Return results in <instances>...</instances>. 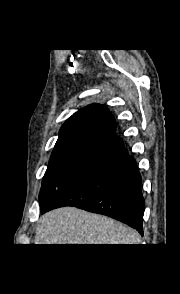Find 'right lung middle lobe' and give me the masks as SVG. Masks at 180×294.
Segmentation results:
<instances>
[{
  "label": "right lung middle lobe",
  "mask_w": 180,
  "mask_h": 294,
  "mask_svg": "<svg viewBox=\"0 0 180 294\" xmlns=\"http://www.w3.org/2000/svg\"><path fill=\"white\" fill-rule=\"evenodd\" d=\"M100 144L74 142L55 146L39 194L41 209L72 179Z\"/></svg>",
  "instance_id": "obj_1"
}]
</instances>
